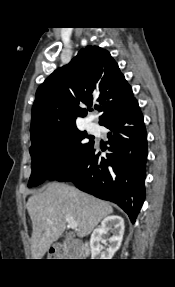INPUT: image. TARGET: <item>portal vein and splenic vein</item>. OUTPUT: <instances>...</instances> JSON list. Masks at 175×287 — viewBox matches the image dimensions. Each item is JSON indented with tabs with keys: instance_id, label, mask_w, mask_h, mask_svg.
<instances>
[{
	"instance_id": "portal-vein-and-splenic-vein-1",
	"label": "portal vein and splenic vein",
	"mask_w": 175,
	"mask_h": 287,
	"mask_svg": "<svg viewBox=\"0 0 175 287\" xmlns=\"http://www.w3.org/2000/svg\"><path fill=\"white\" fill-rule=\"evenodd\" d=\"M65 220L68 223V226L72 229H76L78 224L70 216H65ZM48 221V220H47Z\"/></svg>"
}]
</instances>
